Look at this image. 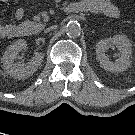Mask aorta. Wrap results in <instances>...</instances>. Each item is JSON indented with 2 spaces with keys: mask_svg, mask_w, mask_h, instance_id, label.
I'll return each instance as SVG.
<instances>
[{
  "mask_svg": "<svg viewBox=\"0 0 135 135\" xmlns=\"http://www.w3.org/2000/svg\"><path fill=\"white\" fill-rule=\"evenodd\" d=\"M66 34L70 37H76L81 33V26L78 21H69L65 26Z\"/></svg>",
  "mask_w": 135,
  "mask_h": 135,
  "instance_id": "1",
  "label": "aorta"
}]
</instances>
